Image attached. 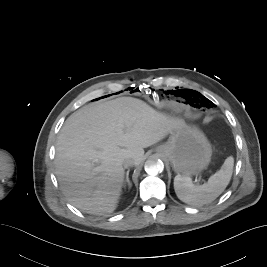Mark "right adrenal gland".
Returning <instances> with one entry per match:
<instances>
[{
    "label": "right adrenal gland",
    "instance_id": "right-adrenal-gland-1",
    "mask_svg": "<svg viewBox=\"0 0 267 267\" xmlns=\"http://www.w3.org/2000/svg\"><path fill=\"white\" fill-rule=\"evenodd\" d=\"M126 184L128 185V189L130 190L132 184H131V182L129 180V171L126 172V178H125V180L123 182V186L125 187Z\"/></svg>",
    "mask_w": 267,
    "mask_h": 267
}]
</instances>
